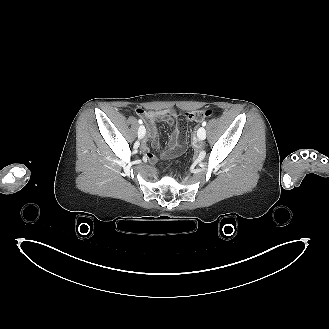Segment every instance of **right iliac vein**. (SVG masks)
<instances>
[{
    "label": "right iliac vein",
    "mask_w": 329,
    "mask_h": 329,
    "mask_svg": "<svg viewBox=\"0 0 329 329\" xmlns=\"http://www.w3.org/2000/svg\"><path fill=\"white\" fill-rule=\"evenodd\" d=\"M146 129L143 125H141L138 129V137L143 138L145 136Z\"/></svg>",
    "instance_id": "obj_1"
}]
</instances>
